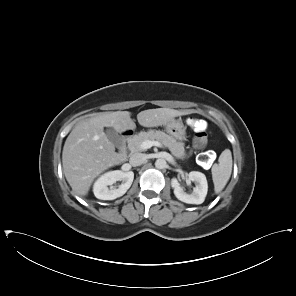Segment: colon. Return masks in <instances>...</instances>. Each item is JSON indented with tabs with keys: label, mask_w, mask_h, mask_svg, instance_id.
<instances>
[{
	"label": "colon",
	"mask_w": 296,
	"mask_h": 296,
	"mask_svg": "<svg viewBox=\"0 0 296 296\" xmlns=\"http://www.w3.org/2000/svg\"><path fill=\"white\" fill-rule=\"evenodd\" d=\"M190 128L194 132L193 144L195 148H203L208 141V135L206 132V125L203 121L192 119L188 122ZM210 153H203L199 156L201 163H206L210 160Z\"/></svg>",
	"instance_id": "colon-1"
}]
</instances>
